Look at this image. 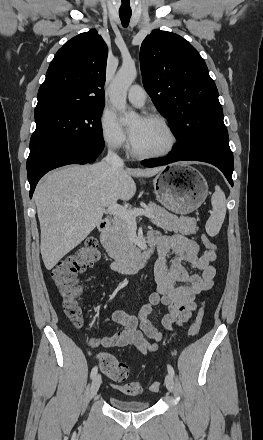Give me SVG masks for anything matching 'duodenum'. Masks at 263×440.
<instances>
[{
    "mask_svg": "<svg viewBox=\"0 0 263 440\" xmlns=\"http://www.w3.org/2000/svg\"><path fill=\"white\" fill-rule=\"evenodd\" d=\"M111 221L107 218L102 219L99 223V230L104 235L105 240L107 233L110 230ZM153 243L151 240L146 241V246L138 253H136L131 259H109V266L112 270L118 271L124 274L135 273L142 269L147 261L153 254Z\"/></svg>",
    "mask_w": 263,
    "mask_h": 440,
    "instance_id": "1",
    "label": "duodenum"
}]
</instances>
